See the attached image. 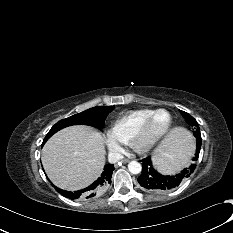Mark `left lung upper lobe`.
<instances>
[{
	"label": "left lung upper lobe",
	"instance_id": "1",
	"mask_svg": "<svg viewBox=\"0 0 233 233\" xmlns=\"http://www.w3.org/2000/svg\"><path fill=\"white\" fill-rule=\"evenodd\" d=\"M180 112L183 115V117L186 119L187 123L195 128L194 136L196 137V141L197 142L202 141L200 129H199V124L197 123V121L188 113H186L182 110H180Z\"/></svg>",
	"mask_w": 233,
	"mask_h": 233
}]
</instances>
